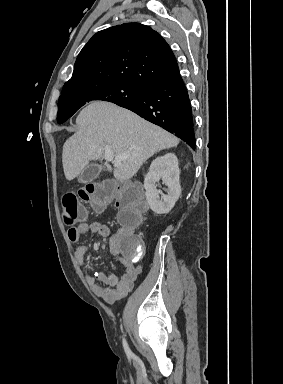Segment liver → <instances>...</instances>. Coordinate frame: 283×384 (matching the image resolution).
<instances>
[{
  "label": "liver",
  "instance_id": "obj_1",
  "mask_svg": "<svg viewBox=\"0 0 283 384\" xmlns=\"http://www.w3.org/2000/svg\"><path fill=\"white\" fill-rule=\"evenodd\" d=\"M76 124L78 132L63 146L66 180L77 178L91 160L103 158L105 150H113L116 156L126 154L114 176L120 182L130 180L153 154L179 144L176 136L110 102H91L81 110ZM104 166L111 172L108 162Z\"/></svg>",
  "mask_w": 283,
  "mask_h": 384
}]
</instances>
